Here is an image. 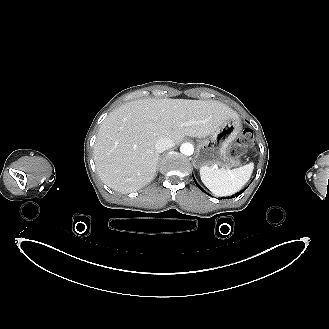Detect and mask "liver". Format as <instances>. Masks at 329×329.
Returning <instances> with one entry per match:
<instances>
[{
	"mask_svg": "<svg viewBox=\"0 0 329 329\" xmlns=\"http://www.w3.org/2000/svg\"><path fill=\"white\" fill-rule=\"evenodd\" d=\"M238 114L216 100L140 99L125 103L102 122L94 146L100 179L129 193L155 176L160 138L179 143L185 136L206 137Z\"/></svg>",
	"mask_w": 329,
	"mask_h": 329,
	"instance_id": "obj_1",
	"label": "liver"
}]
</instances>
